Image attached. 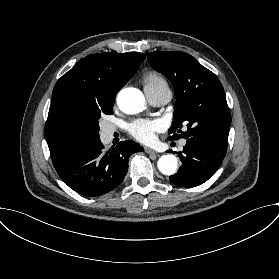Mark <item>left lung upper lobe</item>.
Returning a JSON list of instances; mask_svg holds the SVG:
<instances>
[{
	"mask_svg": "<svg viewBox=\"0 0 279 279\" xmlns=\"http://www.w3.org/2000/svg\"><path fill=\"white\" fill-rule=\"evenodd\" d=\"M147 58L171 81L175 91L169 139L208 138L227 143L231 115L218 77L184 52L157 51Z\"/></svg>",
	"mask_w": 279,
	"mask_h": 279,
	"instance_id": "1",
	"label": "left lung upper lobe"
}]
</instances>
